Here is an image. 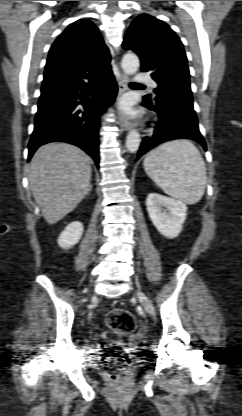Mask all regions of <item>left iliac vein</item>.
<instances>
[{
    "instance_id": "obj_1",
    "label": "left iliac vein",
    "mask_w": 242,
    "mask_h": 416,
    "mask_svg": "<svg viewBox=\"0 0 242 416\" xmlns=\"http://www.w3.org/2000/svg\"><path fill=\"white\" fill-rule=\"evenodd\" d=\"M138 297L141 304L144 306L145 310L151 315H155L154 307L150 301V299L141 291H138Z\"/></svg>"
}]
</instances>
